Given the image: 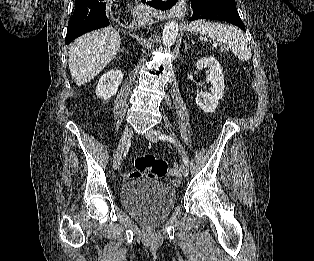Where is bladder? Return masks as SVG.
Listing matches in <instances>:
<instances>
[{"label":"bladder","instance_id":"31cf9c89","mask_svg":"<svg viewBox=\"0 0 314 261\" xmlns=\"http://www.w3.org/2000/svg\"><path fill=\"white\" fill-rule=\"evenodd\" d=\"M123 208L143 224L165 221L176 204V190L156 180H132L120 190Z\"/></svg>","mask_w":314,"mask_h":261}]
</instances>
